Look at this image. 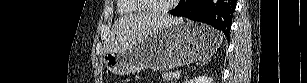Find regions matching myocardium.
<instances>
[{
  "label": "myocardium",
  "instance_id": "1",
  "mask_svg": "<svg viewBox=\"0 0 307 83\" xmlns=\"http://www.w3.org/2000/svg\"><path fill=\"white\" fill-rule=\"evenodd\" d=\"M142 11L148 12L153 15H164L168 12H170L173 8V6L179 1V0H171L169 3H167L165 6L160 7L157 10H149L147 6L144 4L143 0H132Z\"/></svg>",
  "mask_w": 307,
  "mask_h": 83
}]
</instances>
